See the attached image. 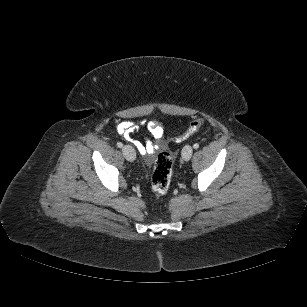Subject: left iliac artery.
I'll return each instance as SVG.
<instances>
[{"label": "left iliac artery", "mask_w": 307, "mask_h": 307, "mask_svg": "<svg viewBox=\"0 0 307 307\" xmlns=\"http://www.w3.org/2000/svg\"><path fill=\"white\" fill-rule=\"evenodd\" d=\"M193 147H194V149H198V148H199V144H198V143H195V144L193 145Z\"/></svg>", "instance_id": "44dca946"}]
</instances>
